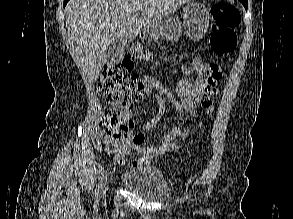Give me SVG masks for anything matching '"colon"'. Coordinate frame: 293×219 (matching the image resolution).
<instances>
[{"label": "colon", "mask_w": 293, "mask_h": 219, "mask_svg": "<svg viewBox=\"0 0 293 219\" xmlns=\"http://www.w3.org/2000/svg\"><path fill=\"white\" fill-rule=\"evenodd\" d=\"M211 19L210 47L213 53L221 56L233 52L237 44L236 29L241 21L239 10L230 3L218 2L211 7ZM151 58L147 49L136 44L118 64L104 67L97 91L108 102L103 114V124L108 132L120 131L128 126L133 106L144 93L143 84L139 76L132 73V68L135 62ZM200 69L209 77L207 87L222 77L221 66L216 62H210Z\"/></svg>", "instance_id": "1"}]
</instances>
